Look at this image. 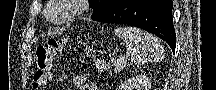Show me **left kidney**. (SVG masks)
Here are the masks:
<instances>
[{
    "label": "left kidney",
    "instance_id": "1",
    "mask_svg": "<svg viewBox=\"0 0 216 90\" xmlns=\"http://www.w3.org/2000/svg\"><path fill=\"white\" fill-rule=\"evenodd\" d=\"M120 90H151V82L147 76H136L123 82Z\"/></svg>",
    "mask_w": 216,
    "mask_h": 90
}]
</instances>
